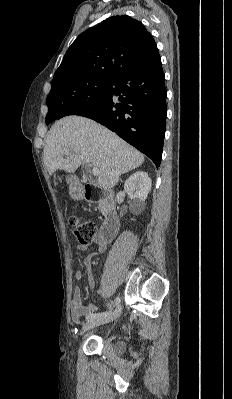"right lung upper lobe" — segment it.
Masks as SVG:
<instances>
[{
    "label": "right lung upper lobe",
    "mask_w": 232,
    "mask_h": 399,
    "mask_svg": "<svg viewBox=\"0 0 232 399\" xmlns=\"http://www.w3.org/2000/svg\"><path fill=\"white\" fill-rule=\"evenodd\" d=\"M156 51L153 37L140 21L112 16L72 43L54 74L49 95L89 80L110 79Z\"/></svg>",
    "instance_id": "cb5924a9"
}]
</instances>
